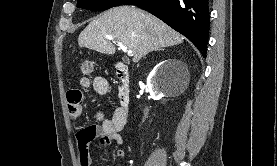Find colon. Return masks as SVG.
I'll return each instance as SVG.
<instances>
[{
  "label": "colon",
  "mask_w": 277,
  "mask_h": 166,
  "mask_svg": "<svg viewBox=\"0 0 277 166\" xmlns=\"http://www.w3.org/2000/svg\"><path fill=\"white\" fill-rule=\"evenodd\" d=\"M79 67L83 74L89 75L93 71L94 64L91 59H84L81 61Z\"/></svg>",
  "instance_id": "5ec220e1"
}]
</instances>
